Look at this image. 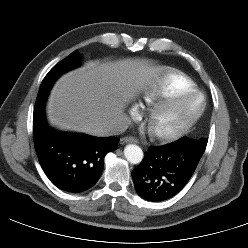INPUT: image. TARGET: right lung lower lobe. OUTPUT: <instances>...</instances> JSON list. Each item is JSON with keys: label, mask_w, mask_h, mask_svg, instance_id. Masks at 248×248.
<instances>
[{"label": "right lung lower lobe", "mask_w": 248, "mask_h": 248, "mask_svg": "<svg viewBox=\"0 0 248 248\" xmlns=\"http://www.w3.org/2000/svg\"><path fill=\"white\" fill-rule=\"evenodd\" d=\"M50 89L39 90L33 113V139L39 163L50 181L66 192H82L98 181L116 137L60 133L48 127L44 105Z\"/></svg>", "instance_id": "1"}]
</instances>
